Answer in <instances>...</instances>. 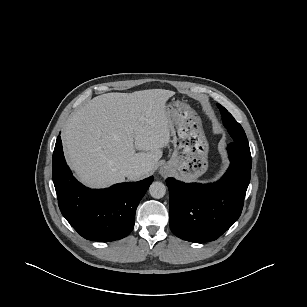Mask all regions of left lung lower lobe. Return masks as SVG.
I'll list each match as a JSON object with an SVG mask.
<instances>
[{
  "label": "left lung lower lobe",
  "mask_w": 307,
  "mask_h": 307,
  "mask_svg": "<svg viewBox=\"0 0 307 307\" xmlns=\"http://www.w3.org/2000/svg\"><path fill=\"white\" fill-rule=\"evenodd\" d=\"M230 166L214 183L166 180L170 196V228L191 242L214 241L239 218L251 177L250 148L238 142L228 145Z\"/></svg>",
  "instance_id": "left-lung-lower-lobe-1"
}]
</instances>
